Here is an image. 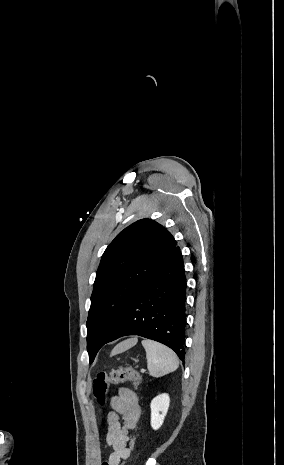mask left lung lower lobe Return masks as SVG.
<instances>
[{"mask_svg":"<svg viewBox=\"0 0 284 465\" xmlns=\"http://www.w3.org/2000/svg\"><path fill=\"white\" fill-rule=\"evenodd\" d=\"M186 277L179 247L130 300L105 343L138 335L175 351L184 363Z\"/></svg>","mask_w":284,"mask_h":465,"instance_id":"left-lung-lower-lobe-1","label":"left lung lower lobe"}]
</instances>
